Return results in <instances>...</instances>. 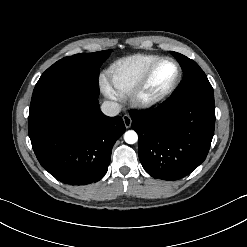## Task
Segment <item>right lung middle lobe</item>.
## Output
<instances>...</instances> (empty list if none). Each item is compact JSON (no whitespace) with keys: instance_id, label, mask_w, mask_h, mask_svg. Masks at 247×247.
Wrapping results in <instances>:
<instances>
[{"instance_id":"1","label":"right lung middle lobe","mask_w":247,"mask_h":247,"mask_svg":"<svg viewBox=\"0 0 247 247\" xmlns=\"http://www.w3.org/2000/svg\"><path fill=\"white\" fill-rule=\"evenodd\" d=\"M110 53L111 50L80 53L57 61L37 82L30 110L37 109L52 97L68 91L84 90L98 95V71Z\"/></svg>"}]
</instances>
